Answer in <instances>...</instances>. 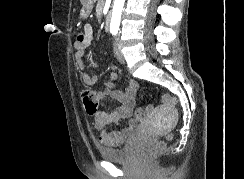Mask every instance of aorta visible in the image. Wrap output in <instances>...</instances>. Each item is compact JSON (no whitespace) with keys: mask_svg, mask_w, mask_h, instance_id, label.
Wrapping results in <instances>:
<instances>
[{"mask_svg":"<svg viewBox=\"0 0 244 179\" xmlns=\"http://www.w3.org/2000/svg\"><path fill=\"white\" fill-rule=\"evenodd\" d=\"M125 0H115L110 24V32H118Z\"/></svg>","mask_w":244,"mask_h":179,"instance_id":"1","label":"aorta"}]
</instances>
